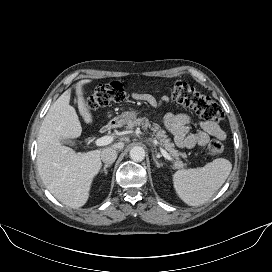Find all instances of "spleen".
<instances>
[{
	"instance_id": "1",
	"label": "spleen",
	"mask_w": 272,
	"mask_h": 272,
	"mask_svg": "<svg viewBox=\"0 0 272 272\" xmlns=\"http://www.w3.org/2000/svg\"><path fill=\"white\" fill-rule=\"evenodd\" d=\"M232 164L217 158L196 169H182L173 174V184L179 198L189 206L206 203L226 181Z\"/></svg>"
}]
</instances>
